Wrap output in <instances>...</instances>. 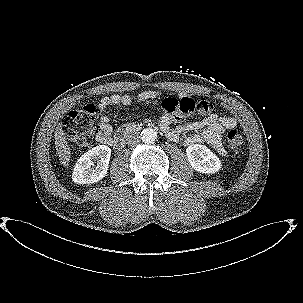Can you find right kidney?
Returning a JSON list of instances; mask_svg holds the SVG:
<instances>
[{
  "label": "right kidney",
  "instance_id": "right-kidney-1",
  "mask_svg": "<svg viewBox=\"0 0 303 303\" xmlns=\"http://www.w3.org/2000/svg\"><path fill=\"white\" fill-rule=\"evenodd\" d=\"M111 149L106 145H98L78 158L72 173V180L76 184H93L102 180L108 170ZM93 160H98L94 169Z\"/></svg>",
  "mask_w": 303,
  "mask_h": 303
}]
</instances>
